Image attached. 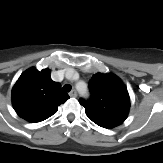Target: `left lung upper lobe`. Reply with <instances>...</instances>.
Masks as SVG:
<instances>
[{
    "label": "left lung upper lobe",
    "instance_id": "obj_1",
    "mask_svg": "<svg viewBox=\"0 0 163 163\" xmlns=\"http://www.w3.org/2000/svg\"><path fill=\"white\" fill-rule=\"evenodd\" d=\"M91 97L80 99L86 115L97 125L113 128L124 122L130 108L125 85L113 74H94L89 83Z\"/></svg>",
    "mask_w": 163,
    "mask_h": 163
}]
</instances>
